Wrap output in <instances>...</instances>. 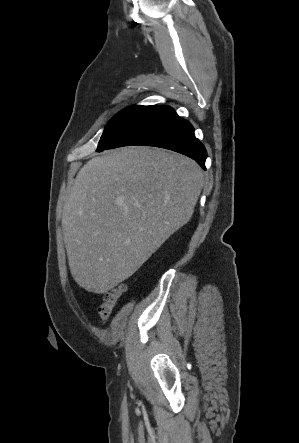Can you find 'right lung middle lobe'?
Listing matches in <instances>:
<instances>
[{"label":"right lung middle lobe","instance_id":"right-lung-middle-lobe-1","mask_svg":"<svg viewBox=\"0 0 299 443\" xmlns=\"http://www.w3.org/2000/svg\"><path fill=\"white\" fill-rule=\"evenodd\" d=\"M147 106L128 107L116 114L106 126L99 141L97 151L109 147L141 114Z\"/></svg>","mask_w":299,"mask_h":443}]
</instances>
